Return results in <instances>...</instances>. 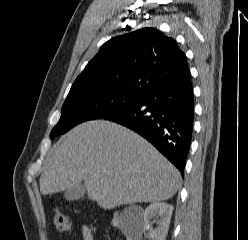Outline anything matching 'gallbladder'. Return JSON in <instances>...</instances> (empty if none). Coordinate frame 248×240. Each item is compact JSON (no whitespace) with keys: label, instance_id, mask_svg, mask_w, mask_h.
<instances>
[{"label":"gallbladder","instance_id":"gallbladder-1","mask_svg":"<svg viewBox=\"0 0 248 240\" xmlns=\"http://www.w3.org/2000/svg\"><path fill=\"white\" fill-rule=\"evenodd\" d=\"M85 194L84 185L80 184L74 187H70L64 191V198L68 201H75L82 198Z\"/></svg>","mask_w":248,"mask_h":240}]
</instances>
